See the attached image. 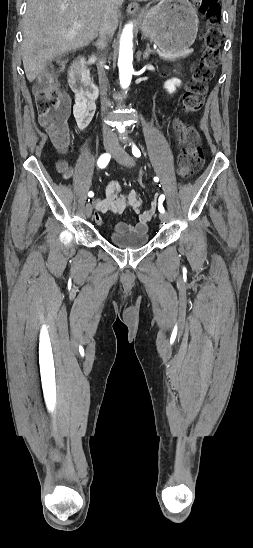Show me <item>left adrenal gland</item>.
Instances as JSON below:
<instances>
[{
    "label": "left adrenal gland",
    "instance_id": "left-adrenal-gland-1",
    "mask_svg": "<svg viewBox=\"0 0 253 548\" xmlns=\"http://www.w3.org/2000/svg\"><path fill=\"white\" fill-rule=\"evenodd\" d=\"M151 54H154V51L150 49V44L147 43L146 50L143 53V59H148Z\"/></svg>",
    "mask_w": 253,
    "mask_h": 548
}]
</instances>
